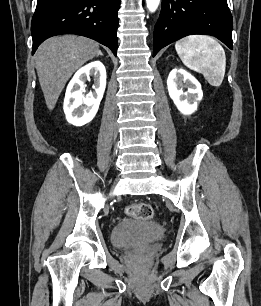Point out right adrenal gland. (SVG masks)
Instances as JSON below:
<instances>
[{
    "mask_svg": "<svg viewBox=\"0 0 261 306\" xmlns=\"http://www.w3.org/2000/svg\"><path fill=\"white\" fill-rule=\"evenodd\" d=\"M99 55L103 56V54H102V53H100Z\"/></svg>",
    "mask_w": 261,
    "mask_h": 306,
    "instance_id": "2a0ac1e0",
    "label": "right adrenal gland"
}]
</instances>
